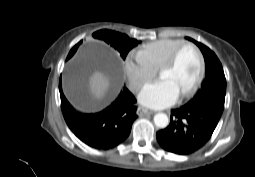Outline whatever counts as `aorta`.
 Masks as SVG:
<instances>
[{
    "label": "aorta",
    "mask_w": 255,
    "mask_h": 177,
    "mask_svg": "<svg viewBox=\"0 0 255 177\" xmlns=\"http://www.w3.org/2000/svg\"><path fill=\"white\" fill-rule=\"evenodd\" d=\"M154 123L159 128H166L169 124L168 116L165 113H157L154 116Z\"/></svg>",
    "instance_id": "aorta-1"
}]
</instances>
